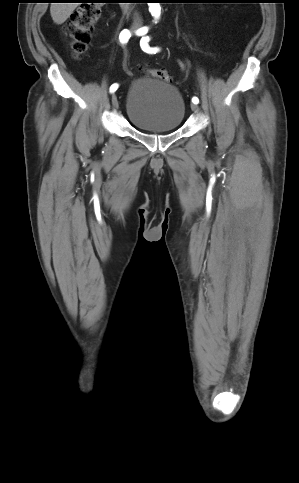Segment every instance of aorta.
<instances>
[{
	"instance_id": "1",
	"label": "aorta",
	"mask_w": 299,
	"mask_h": 483,
	"mask_svg": "<svg viewBox=\"0 0 299 483\" xmlns=\"http://www.w3.org/2000/svg\"><path fill=\"white\" fill-rule=\"evenodd\" d=\"M149 5V11L154 16L155 18H158L161 13V8L159 3H148Z\"/></svg>"
}]
</instances>
